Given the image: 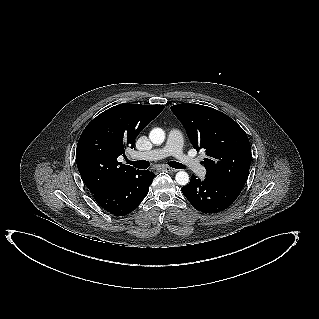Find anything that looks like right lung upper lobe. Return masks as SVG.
Segmentation results:
<instances>
[{"label":"right lung upper lobe","mask_w":319,"mask_h":319,"mask_svg":"<svg viewBox=\"0 0 319 319\" xmlns=\"http://www.w3.org/2000/svg\"><path fill=\"white\" fill-rule=\"evenodd\" d=\"M164 109L162 105L120 104L99 114L83 130L76 163L85 185L96 193L136 169L119 163L126 147Z\"/></svg>","instance_id":"cb5924a9"}]
</instances>
